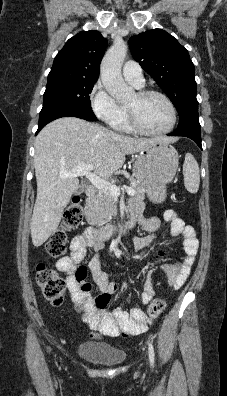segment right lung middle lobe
Returning <instances> with one entry per match:
<instances>
[{"instance_id":"right-lung-middle-lobe-1","label":"right lung middle lobe","mask_w":227,"mask_h":396,"mask_svg":"<svg viewBox=\"0 0 227 396\" xmlns=\"http://www.w3.org/2000/svg\"><path fill=\"white\" fill-rule=\"evenodd\" d=\"M97 79L68 73H49L42 109L70 106L96 121L89 94Z\"/></svg>"}]
</instances>
